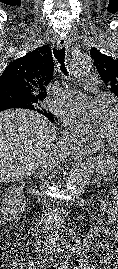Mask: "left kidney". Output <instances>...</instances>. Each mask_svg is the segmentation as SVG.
<instances>
[{"mask_svg": "<svg viewBox=\"0 0 118 269\" xmlns=\"http://www.w3.org/2000/svg\"><path fill=\"white\" fill-rule=\"evenodd\" d=\"M106 211H107V202H106V199L105 200H101V208H100L101 215H104Z\"/></svg>", "mask_w": 118, "mask_h": 269, "instance_id": "obj_1", "label": "left kidney"}]
</instances>
